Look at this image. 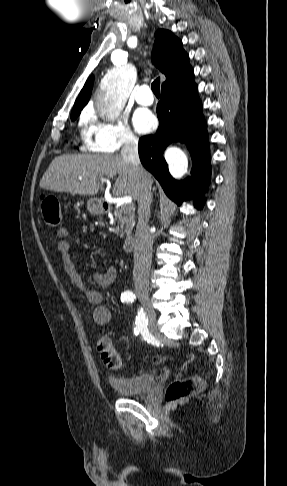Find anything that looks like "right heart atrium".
Masks as SVG:
<instances>
[{
  "instance_id": "1",
  "label": "right heart atrium",
  "mask_w": 287,
  "mask_h": 486,
  "mask_svg": "<svg viewBox=\"0 0 287 486\" xmlns=\"http://www.w3.org/2000/svg\"><path fill=\"white\" fill-rule=\"evenodd\" d=\"M86 128L84 148L91 152L115 153L122 148H134L138 139L123 118L105 121L92 110L82 116Z\"/></svg>"
}]
</instances>
